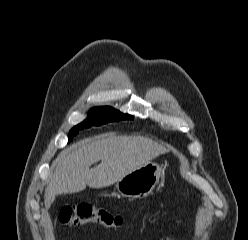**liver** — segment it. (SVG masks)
Masks as SVG:
<instances>
[{
	"instance_id": "1",
	"label": "liver",
	"mask_w": 248,
	"mask_h": 240,
	"mask_svg": "<svg viewBox=\"0 0 248 240\" xmlns=\"http://www.w3.org/2000/svg\"><path fill=\"white\" fill-rule=\"evenodd\" d=\"M165 147L140 136L102 135L84 139L62 151L52 164L51 178L44 193L46 209L56 195L108 187L135 169L166 153ZM101 163L90 169V166Z\"/></svg>"
}]
</instances>
